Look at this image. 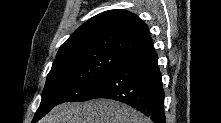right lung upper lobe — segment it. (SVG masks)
Listing matches in <instances>:
<instances>
[{
  "label": "right lung upper lobe",
  "instance_id": "obj_1",
  "mask_svg": "<svg viewBox=\"0 0 221 123\" xmlns=\"http://www.w3.org/2000/svg\"><path fill=\"white\" fill-rule=\"evenodd\" d=\"M96 48L127 56L154 49L147 25L135 14L116 9L102 12L80 26L60 46L56 58Z\"/></svg>",
  "mask_w": 221,
  "mask_h": 123
}]
</instances>
